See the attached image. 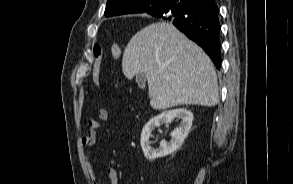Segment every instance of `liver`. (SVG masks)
Returning a JSON list of instances; mask_svg holds the SVG:
<instances>
[{
  "label": "liver",
  "mask_w": 293,
  "mask_h": 184,
  "mask_svg": "<svg viewBox=\"0 0 293 184\" xmlns=\"http://www.w3.org/2000/svg\"><path fill=\"white\" fill-rule=\"evenodd\" d=\"M122 71L128 79L145 74L154 109L214 106L219 101L217 75L210 58L166 22L152 23L130 39L123 53Z\"/></svg>",
  "instance_id": "liver-1"
}]
</instances>
